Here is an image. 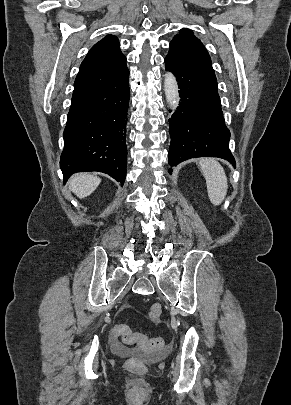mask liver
I'll return each mask as SVG.
<instances>
[{
    "label": "liver",
    "mask_w": 291,
    "mask_h": 405,
    "mask_svg": "<svg viewBox=\"0 0 291 405\" xmlns=\"http://www.w3.org/2000/svg\"><path fill=\"white\" fill-rule=\"evenodd\" d=\"M101 179L91 174H77L69 180V187L79 198H85L95 191Z\"/></svg>",
    "instance_id": "1"
}]
</instances>
